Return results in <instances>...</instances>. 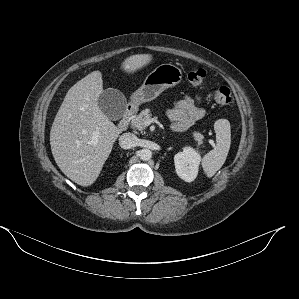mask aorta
I'll return each mask as SVG.
<instances>
[{
	"label": "aorta",
	"mask_w": 299,
	"mask_h": 299,
	"mask_svg": "<svg viewBox=\"0 0 299 299\" xmlns=\"http://www.w3.org/2000/svg\"><path fill=\"white\" fill-rule=\"evenodd\" d=\"M139 157L143 161H148L152 158V151L150 149L144 148L139 151Z\"/></svg>",
	"instance_id": "obj_1"
}]
</instances>
